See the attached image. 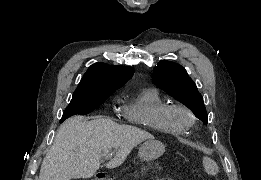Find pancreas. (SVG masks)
Instances as JSON below:
<instances>
[{
  "label": "pancreas",
  "instance_id": "1",
  "mask_svg": "<svg viewBox=\"0 0 261 180\" xmlns=\"http://www.w3.org/2000/svg\"><path fill=\"white\" fill-rule=\"evenodd\" d=\"M165 162L163 159H147V162L139 163L137 166V173H132V178H137V174L140 176H145V170H160V167H165Z\"/></svg>",
  "mask_w": 261,
  "mask_h": 180
}]
</instances>
